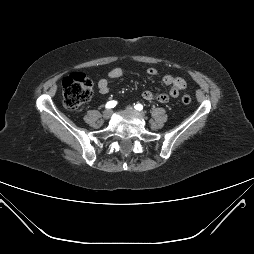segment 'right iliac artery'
I'll use <instances>...</instances> for the list:
<instances>
[{
  "mask_svg": "<svg viewBox=\"0 0 254 254\" xmlns=\"http://www.w3.org/2000/svg\"><path fill=\"white\" fill-rule=\"evenodd\" d=\"M117 102L116 101H109L106 104V108L110 109V108H114L116 106Z\"/></svg>",
  "mask_w": 254,
  "mask_h": 254,
  "instance_id": "82829eb1",
  "label": "right iliac artery"
}]
</instances>
